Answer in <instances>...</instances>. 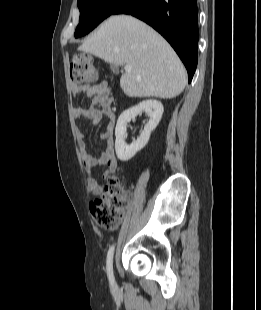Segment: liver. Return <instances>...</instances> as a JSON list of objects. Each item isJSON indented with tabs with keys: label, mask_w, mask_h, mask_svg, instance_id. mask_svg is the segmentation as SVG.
<instances>
[{
	"label": "liver",
	"mask_w": 261,
	"mask_h": 310,
	"mask_svg": "<svg viewBox=\"0 0 261 310\" xmlns=\"http://www.w3.org/2000/svg\"><path fill=\"white\" fill-rule=\"evenodd\" d=\"M78 50L111 64L130 65L132 70L120 79L121 89L129 97L174 98L187 82L186 70L167 41L129 15L109 17Z\"/></svg>",
	"instance_id": "1"
}]
</instances>
